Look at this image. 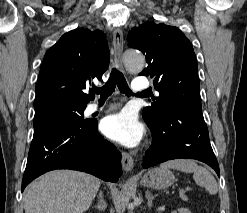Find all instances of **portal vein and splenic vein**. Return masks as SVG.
<instances>
[{
	"label": "portal vein and splenic vein",
	"mask_w": 247,
	"mask_h": 213,
	"mask_svg": "<svg viewBox=\"0 0 247 213\" xmlns=\"http://www.w3.org/2000/svg\"><path fill=\"white\" fill-rule=\"evenodd\" d=\"M179 194H180V196H183L185 194V190L184 189H180L179 190Z\"/></svg>",
	"instance_id": "1"
}]
</instances>
